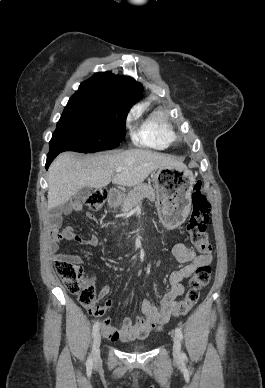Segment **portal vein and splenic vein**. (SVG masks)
<instances>
[{
    "label": "portal vein and splenic vein",
    "instance_id": "obj_1",
    "mask_svg": "<svg viewBox=\"0 0 265 388\" xmlns=\"http://www.w3.org/2000/svg\"><path fill=\"white\" fill-rule=\"evenodd\" d=\"M122 170H127V168H116L115 172L118 174V172H122Z\"/></svg>",
    "mask_w": 265,
    "mask_h": 388
}]
</instances>
